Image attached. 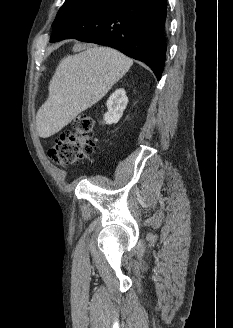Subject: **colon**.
I'll return each instance as SVG.
<instances>
[{
  "label": "colon",
  "instance_id": "1",
  "mask_svg": "<svg viewBox=\"0 0 233 328\" xmlns=\"http://www.w3.org/2000/svg\"><path fill=\"white\" fill-rule=\"evenodd\" d=\"M94 122L90 115L81 114L72 122V130L59 133L48 151L50 160L68 166L90 156L96 148Z\"/></svg>",
  "mask_w": 233,
  "mask_h": 328
}]
</instances>
